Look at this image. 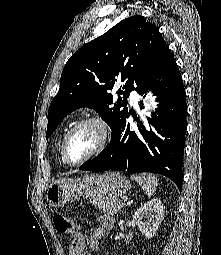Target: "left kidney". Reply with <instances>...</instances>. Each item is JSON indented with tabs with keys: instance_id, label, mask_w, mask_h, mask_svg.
Returning a JSON list of instances; mask_svg holds the SVG:
<instances>
[{
	"instance_id": "1",
	"label": "left kidney",
	"mask_w": 221,
	"mask_h": 255,
	"mask_svg": "<svg viewBox=\"0 0 221 255\" xmlns=\"http://www.w3.org/2000/svg\"><path fill=\"white\" fill-rule=\"evenodd\" d=\"M163 218V206L159 199H152L139 207L133 215V221L146 237H153ZM144 219V221H142Z\"/></svg>"
}]
</instances>
